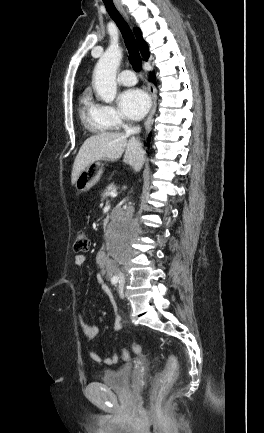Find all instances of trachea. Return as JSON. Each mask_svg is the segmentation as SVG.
Segmentation results:
<instances>
[{"instance_id":"obj_1","label":"trachea","mask_w":264,"mask_h":433,"mask_svg":"<svg viewBox=\"0 0 264 433\" xmlns=\"http://www.w3.org/2000/svg\"><path fill=\"white\" fill-rule=\"evenodd\" d=\"M104 5L106 7L107 12L109 13L110 17L115 21L116 25L118 26L119 30L122 33V36L125 41V45L127 47L129 58L131 61V64L133 68L136 71H141L142 69V60L140 57V53L137 47V43L135 41V38L132 34L131 29L123 19V17L120 15V13L115 8L112 0H103Z\"/></svg>"}]
</instances>
